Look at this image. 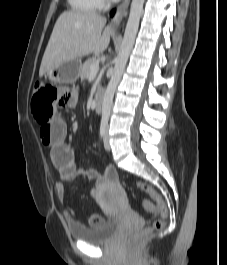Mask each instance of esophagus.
Returning a JSON list of instances; mask_svg holds the SVG:
<instances>
[{
    "label": "esophagus",
    "instance_id": "esophagus-1",
    "mask_svg": "<svg viewBox=\"0 0 227 265\" xmlns=\"http://www.w3.org/2000/svg\"><path fill=\"white\" fill-rule=\"evenodd\" d=\"M131 0H124L116 9L113 18L111 19V26L117 27L123 17L127 14L128 7Z\"/></svg>",
    "mask_w": 227,
    "mask_h": 265
}]
</instances>
